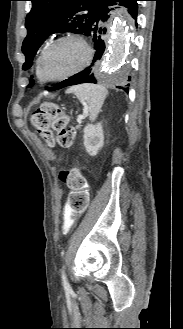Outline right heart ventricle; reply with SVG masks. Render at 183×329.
Returning a JSON list of instances; mask_svg holds the SVG:
<instances>
[{
  "instance_id": "e07e8e85",
  "label": "right heart ventricle",
  "mask_w": 183,
  "mask_h": 329,
  "mask_svg": "<svg viewBox=\"0 0 183 329\" xmlns=\"http://www.w3.org/2000/svg\"><path fill=\"white\" fill-rule=\"evenodd\" d=\"M41 53H42V51H40V53L38 54V56H37V58H36V63H35L36 76H37V78H38L39 81H41V82H45V81L41 78L40 73H39V60H40Z\"/></svg>"
}]
</instances>
